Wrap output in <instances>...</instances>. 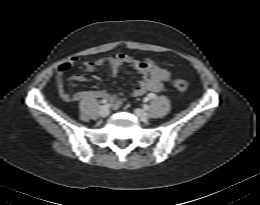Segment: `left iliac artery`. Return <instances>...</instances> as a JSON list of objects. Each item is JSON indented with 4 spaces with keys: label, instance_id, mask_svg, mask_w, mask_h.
Listing matches in <instances>:
<instances>
[{
    "label": "left iliac artery",
    "instance_id": "1",
    "mask_svg": "<svg viewBox=\"0 0 260 205\" xmlns=\"http://www.w3.org/2000/svg\"><path fill=\"white\" fill-rule=\"evenodd\" d=\"M143 107L145 110H148V108H149L148 105H146V104Z\"/></svg>",
    "mask_w": 260,
    "mask_h": 205
}]
</instances>
